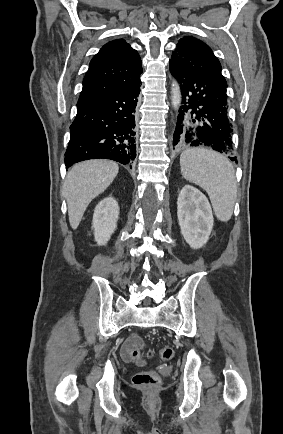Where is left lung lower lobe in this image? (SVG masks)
<instances>
[{
	"label": "left lung lower lobe",
	"mask_w": 283,
	"mask_h": 434,
	"mask_svg": "<svg viewBox=\"0 0 283 434\" xmlns=\"http://www.w3.org/2000/svg\"><path fill=\"white\" fill-rule=\"evenodd\" d=\"M171 74L181 90L173 144L206 146L220 153L231 152L232 129L228 122L226 87L169 61ZM237 161L236 157H229Z\"/></svg>",
	"instance_id": "1"
}]
</instances>
